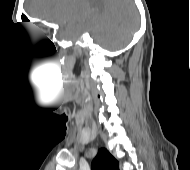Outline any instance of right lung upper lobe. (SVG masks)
<instances>
[{"label": "right lung upper lobe", "instance_id": "right-lung-upper-lobe-1", "mask_svg": "<svg viewBox=\"0 0 190 170\" xmlns=\"http://www.w3.org/2000/svg\"><path fill=\"white\" fill-rule=\"evenodd\" d=\"M91 167L92 170H118V162L108 150L102 148L92 161Z\"/></svg>", "mask_w": 190, "mask_h": 170}]
</instances>
